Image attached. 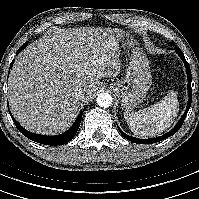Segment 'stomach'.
Returning a JSON list of instances; mask_svg holds the SVG:
<instances>
[{"mask_svg":"<svg viewBox=\"0 0 199 199\" xmlns=\"http://www.w3.org/2000/svg\"><path fill=\"white\" fill-rule=\"evenodd\" d=\"M121 46L131 49L130 62L125 79L111 83L110 88L120 100L123 109L128 111L143 101L152 84V75L149 61L142 49L136 45L133 35L125 33Z\"/></svg>","mask_w":199,"mask_h":199,"instance_id":"obj_1","label":"stomach"}]
</instances>
